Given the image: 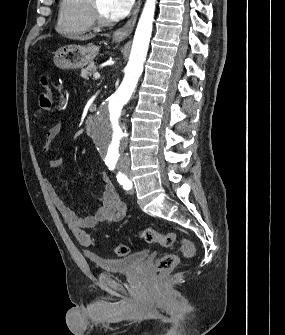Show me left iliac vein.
Segmentation results:
<instances>
[{
	"label": "left iliac vein",
	"mask_w": 285,
	"mask_h": 335,
	"mask_svg": "<svg viewBox=\"0 0 285 335\" xmlns=\"http://www.w3.org/2000/svg\"><path fill=\"white\" fill-rule=\"evenodd\" d=\"M131 183H132V185H133V182H132V181H131ZM133 191H134V189L131 190V192H133Z\"/></svg>",
	"instance_id": "left-iliac-vein-1"
}]
</instances>
